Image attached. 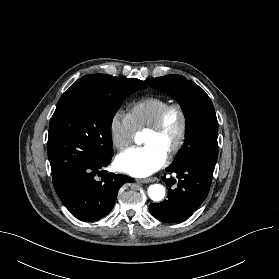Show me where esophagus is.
<instances>
[{
    "label": "esophagus",
    "mask_w": 279,
    "mask_h": 279,
    "mask_svg": "<svg viewBox=\"0 0 279 279\" xmlns=\"http://www.w3.org/2000/svg\"><path fill=\"white\" fill-rule=\"evenodd\" d=\"M156 180V178H145V179H137V181L138 182H140V183H149V182H153V181H155Z\"/></svg>",
    "instance_id": "obj_1"
}]
</instances>
